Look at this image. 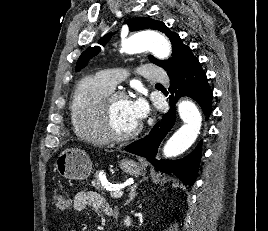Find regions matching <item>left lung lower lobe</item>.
I'll use <instances>...</instances> for the list:
<instances>
[{"mask_svg":"<svg viewBox=\"0 0 268 231\" xmlns=\"http://www.w3.org/2000/svg\"><path fill=\"white\" fill-rule=\"evenodd\" d=\"M168 75L170 77L169 91L171 92L170 110L160 122L156 123L147 136L126 146L125 150L147 158L161 172L173 173L185 185H193L197 178L202 142L189 155L180 160H157L155 155L159 144L175 124V104L178 99L183 96L193 98L202 108L207 120L212 111V91L207 76L196 57L191 58L183 68Z\"/></svg>","mask_w":268,"mask_h":231,"instance_id":"obj_1","label":"left lung lower lobe"}]
</instances>
